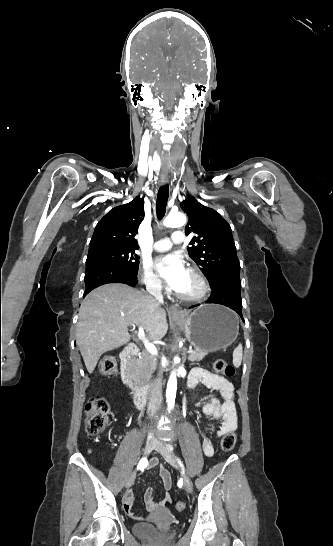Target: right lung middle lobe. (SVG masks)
Masks as SVG:
<instances>
[{"mask_svg":"<svg viewBox=\"0 0 333 546\" xmlns=\"http://www.w3.org/2000/svg\"><path fill=\"white\" fill-rule=\"evenodd\" d=\"M92 261H106L138 272L139 257L135 249L103 247L88 252L86 264Z\"/></svg>","mask_w":333,"mask_h":546,"instance_id":"obj_1","label":"right lung middle lobe"}]
</instances>
